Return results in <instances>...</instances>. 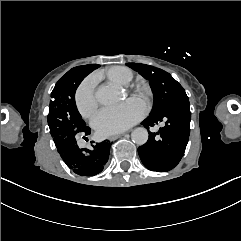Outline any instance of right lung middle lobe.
Instances as JSON below:
<instances>
[{"label":"right lung middle lobe","mask_w":241,"mask_h":241,"mask_svg":"<svg viewBox=\"0 0 241 241\" xmlns=\"http://www.w3.org/2000/svg\"><path fill=\"white\" fill-rule=\"evenodd\" d=\"M86 66L94 70L100 65L89 64L72 68L59 79L51 93L48 125L57 147L65 141L76 140V136L84 133L88 128L75 103V92Z\"/></svg>","instance_id":"dd1d6c3e"}]
</instances>
